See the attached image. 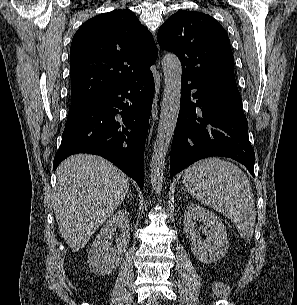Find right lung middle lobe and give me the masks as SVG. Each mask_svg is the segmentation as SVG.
<instances>
[{
  "label": "right lung middle lobe",
  "instance_id": "dd1d6c3e",
  "mask_svg": "<svg viewBox=\"0 0 297 305\" xmlns=\"http://www.w3.org/2000/svg\"><path fill=\"white\" fill-rule=\"evenodd\" d=\"M90 101V100H89ZM89 101H84V102H78V103H73L71 104V107L69 109V113L72 111L77 110L78 108L82 107L83 105H85L86 103H88Z\"/></svg>",
  "mask_w": 297,
  "mask_h": 305
}]
</instances>
